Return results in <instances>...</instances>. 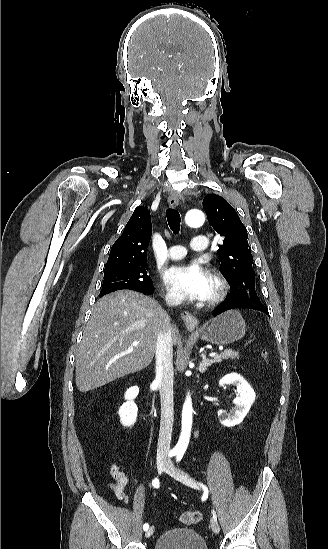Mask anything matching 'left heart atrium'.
Listing matches in <instances>:
<instances>
[{
  "label": "left heart atrium",
  "mask_w": 328,
  "mask_h": 549,
  "mask_svg": "<svg viewBox=\"0 0 328 549\" xmlns=\"http://www.w3.org/2000/svg\"><path fill=\"white\" fill-rule=\"evenodd\" d=\"M166 283L180 300H204L209 295L212 276L202 265L194 262L169 271Z\"/></svg>",
  "instance_id": "39dd6f15"
}]
</instances>
